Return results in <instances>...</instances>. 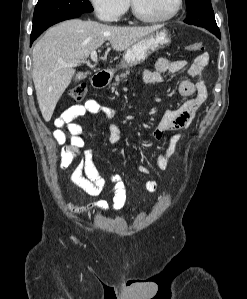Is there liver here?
<instances>
[{"label":"liver","mask_w":247,"mask_h":299,"mask_svg":"<svg viewBox=\"0 0 247 299\" xmlns=\"http://www.w3.org/2000/svg\"><path fill=\"white\" fill-rule=\"evenodd\" d=\"M161 27H122L80 19L50 27L33 48L32 78L44 120H51L57 102L75 74L74 68L63 62L86 59L105 41L115 51H124Z\"/></svg>","instance_id":"6515ba94"}]
</instances>
